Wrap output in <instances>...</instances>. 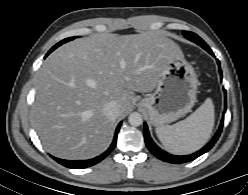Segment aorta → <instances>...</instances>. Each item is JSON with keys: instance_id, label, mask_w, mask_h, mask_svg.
<instances>
[{"instance_id": "obj_1", "label": "aorta", "mask_w": 248, "mask_h": 195, "mask_svg": "<svg viewBox=\"0 0 248 195\" xmlns=\"http://www.w3.org/2000/svg\"><path fill=\"white\" fill-rule=\"evenodd\" d=\"M128 121L130 123V125L132 126H140L143 122V118H142V115L138 112H133L129 115L128 117Z\"/></svg>"}]
</instances>
